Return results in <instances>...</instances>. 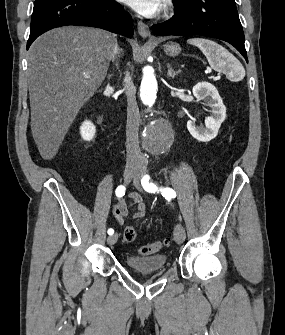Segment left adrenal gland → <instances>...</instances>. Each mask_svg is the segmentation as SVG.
<instances>
[{
  "mask_svg": "<svg viewBox=\"0 0 285 335\" xmlns=\"http://www.w3.org/2000/svg\"><path fill=\"white\" fill-rule=\"evenodd\" d=\"M168 72L167 76L168 78H174V76H177V74H180L181 70H178V72H174L171 64H167Z\"/></svg>",
  "mask_w": 285,
  "mask_h": 335,
  "instance_id": "left-adrenal-gland-1",
  "label": "left adrenal gland"
}]
</instances>
